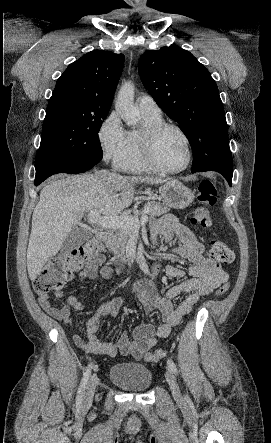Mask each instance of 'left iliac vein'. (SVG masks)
I'll use <instances>...</instances> for the list:
<instances>
[{"instance_id": "1", "label": "left iliac vein", "mask_w": 271, "mask_h": 443, "mask_svg": "<svg viewBox=\"0 0 271 443\" xmlns=\"http://www.w3.org/2000/svg\"><path fill=\"white\" fill-rule=\"evenodd\" d=\"M165 377H166V380H167V382L169 384V387L171 389V392H172L174 398L175 399H180L181 398V392H180V389H179V385L177 383L175 375L173 374V372L169 368L166 370Z\"/></svg>"}]
</instances>
